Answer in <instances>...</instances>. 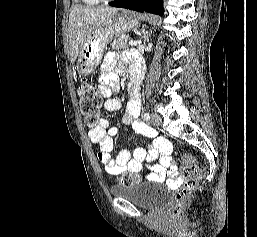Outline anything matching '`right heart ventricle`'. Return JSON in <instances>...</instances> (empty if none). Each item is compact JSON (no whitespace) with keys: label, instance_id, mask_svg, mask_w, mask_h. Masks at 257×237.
I'll return each instance as SVG.
<instances>
[{"label":"right heart ventricle","instance_id":"obj_1","mask_svg":"<svg viewBox=\"0 0 257 237\" xmlns=\"http://www.w3.org/2000/svg\"><path fill=\"white\" fill-rule=\"evenodd\" d=\"M84 4L93 6L100 3L101 0H82Z\"/></svg>","mask_w":257,"mask_h":237}]
</instances>
